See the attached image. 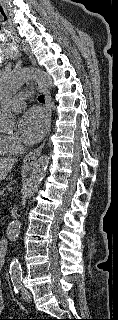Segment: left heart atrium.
<instances>
[{
    "mask_svg": "<svg viewBox=\"0 0 118 320\" xmlns=\"http://www.w3.org/2000/svg\"><path fill=\"white\" fill-rule=\"evenodd\" d=\"M47 127V115L43 110L35 107L26 111L19 121L21 137L28 144L39 141L45 134Z\"/></svg>",
    "mask_w": 118,
    "mask_h": 320,
    "instance_id": "obj_1",
    "label": "left heart atrium"
}]
</instances>
